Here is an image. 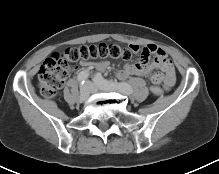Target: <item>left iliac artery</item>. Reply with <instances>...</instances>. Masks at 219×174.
Returning a JSON list of instances; mask_svg holds the SVG:
<instances>
[{
  "instance_id": "obj_1",
  "label": "left iliac artery",
  "mask_w": 219,
  "mask_h": 174,
  "mask_svg": "<svg viewBox=\"0 0 219 174\" xmlns=\"http://www.w3.org/2000/svg\"><path fill=\"white\" fill-rule=\"evenodd\" d=\"M93 81L98 86L107 87V88H110L114 91L121 92L123 94L130 95V94L133 93V89L129 84H127V83H115V82L108 81V80L104 79L103 76L100 73H97L94 76Z\"/></svg>"
}]
</instances>
